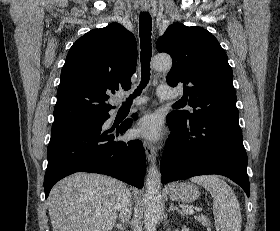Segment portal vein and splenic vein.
I'll return each instance as SVG.
<instances>
[{"label": "portal vein and splenic vein", "instance_id": "portal-vein-and-splenic-vein-1", "mask_svg": "<svg viewBox=\"0 0 280 231\" xmlns=\"http://www.w3.org/2000/svg\"><path fill=\"white\" fill-rule=\"evenodd\" d=\"M185 213H195L194 209H184Z\"/></svg>", "mask_w": 280, "mask_h": 231}]
</instances>
